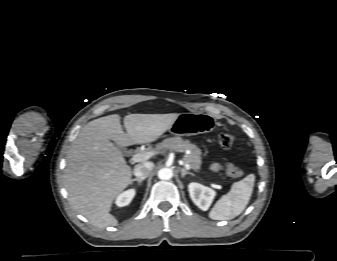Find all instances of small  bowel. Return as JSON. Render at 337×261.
<instances>
[{"label": "small bowel", "instance_id": "1", "mask_svg": "<svg viewBox=\"0 0 337 261\" xmlns=\"http://www.w3.org/2000/svg\"><path fill=\"white\" fill-rule=\"evenodd\" d=\"M210 168L213 170V171H217L220 169V165L217 164V163H214L210 166Z\"/></svg>", "mask_w": 337, "mask_h": 261}]
</instances>
